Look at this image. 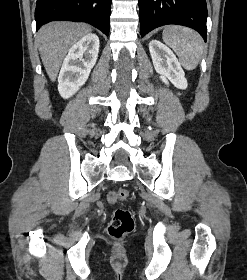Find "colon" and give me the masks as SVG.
<instances>
[{"label":"colon","instance_id":"obj_1","mask_svg":"<svg viewBox=\"0 0 247 280\" xmlns=\"http://www.w3.org/2000/svg\"><path fill=\"white\" fill-rule=\"evenodd\" d=\"M114 193V200L125 201L129 198V191L125 188H119ZM135 227L133 213L124 208H118L114 211L109 222L108 234L116 239H120L133 231Z\"/></svg>","mask_w":247,"mask_h":280}]
</instances>
